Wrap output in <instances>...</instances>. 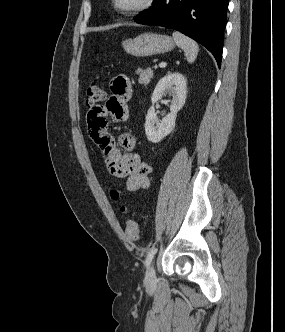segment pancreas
<instances>
[{"label": "pancreas", "mask_w": 285, "mask_h": 332, "mask_svg": "<svg viewBox=\"0 0 285 332\" xmlns=\"http://www.w3.org/2000/svg\"><path fill=\"white\" fill-rule=\"evenodd\" d=\"M135 72L139 75V83L142 85H148L153 77V71L150 68L146 70L139 68Z\"/></svg>", "instance_id": "pancreas-1"}]
</instances>
